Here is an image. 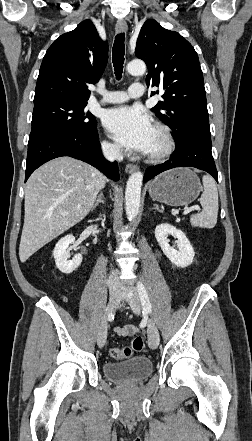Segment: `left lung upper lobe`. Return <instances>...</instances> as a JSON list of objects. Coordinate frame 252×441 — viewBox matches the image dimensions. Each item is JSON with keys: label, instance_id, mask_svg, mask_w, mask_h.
Masks as SVG:
<instances>
[{"label": "left lung upper lobe", "instance_id": "1", "mask_svg": "<svg viewBox=\"0 0 252 441\" xmlns=\"http://www.w3.org/2000/svg\"><path fill=\"white\" fill-rule=\"evenodd\" d=\"M135 54L148 67L147 86H159L164 92V102L151 110L172 129L174 139L190 125L209 127L203 73L196 51L184 37L148 19Z\"/></svg>", "mask_w": 252, "mask_h": 441}]
</instances>
